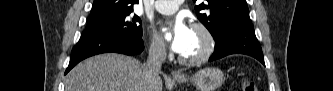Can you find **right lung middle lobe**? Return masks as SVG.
Here are the masks:
<instances>
[{
    "label": "right lung middle lobe",
    "mask_w": 333,
    "mask_h": 91,
    "mask_svg": "<svg viewBox=\"0 0 333 91\" xmlns=\"http://www.w3.org/2000/svg\"><path fill=\"white\" fill-rule=\"evenodd\" d=\"M133 10L119 14L91 18L83 33H121L132 38H142L141 20L131 16Z\"/></svg>",
    "instance_id": "obj_1"
}]
</instances>
